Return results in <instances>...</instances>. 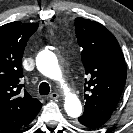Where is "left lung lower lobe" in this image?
<instances>
[{
	"instance_id": "left-lung-lower-lobe-1",
	"label": "left lung lower lobe",
	"mask_w": 133,
	"mask_h": 133,
	"mask_svg": "<svg viewBox=\"0 0 133 133\" xmlns=\"http://www.w3.org/2000/svg\"><path fill=\"white\" fill-rule=\"evenodd\" d=\"M110 116L98 115L92 112L84 111L83 115L78 118V125L90 129H97L105 124Z\"/></svg>"
}]
</instances>
